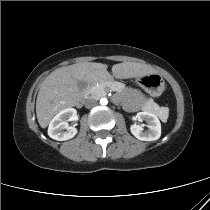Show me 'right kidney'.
Here are the masks:
<instances>
[{
    "mask_svg": "<svg viewBox=\"0 0 210 210\" xmlns=\"http://www.w3.org/2000/svg\"><path fill=\"white\" fill-rule=\"evenodd\" d=\"M76 119V109L67 108L60 111L49 124V137L58 141H65L73 138L77 134V129L73 126H69L67 121H75Z\"/></svg>",
    "mask_w": 210,
    "mask_h": 210,
    "instance_id": "right-kidney-1",
    "label": "right kidney"
}]
</instances>
